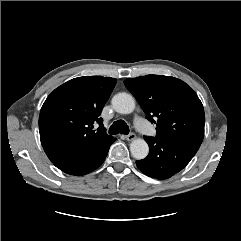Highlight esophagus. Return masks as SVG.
Instances as JSON below:
<instances>
[{
    "label": "esophagus",
    "instance_id": "1",
    "mask_svg": "<svg viewBox=\"0 0 241 241\" xmlns=\"http://www.w3.org/2000/svg\"><path fill=\"white\" fill-rule=\"evenodd\" d=\"M135 138H136V135L134 133H130V134L125 136V139L127 141H133Z\"/></svg>",
    "mask_w": 241,
    "mask_h": 241
}]
</instances>
